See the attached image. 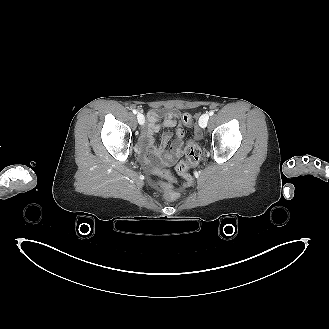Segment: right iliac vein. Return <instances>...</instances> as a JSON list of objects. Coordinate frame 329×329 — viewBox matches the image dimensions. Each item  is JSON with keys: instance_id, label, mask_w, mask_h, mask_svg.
Here are the masks:
<instances>
[{"instance_id": "right-iliac-vein-1", "label": "right iliac vein", "mask_w": 329, "mask_h": 329, "mask_svg": "<svg viewBox=\"0 0 329 329\" xmlns=\"http://www.w3.org/2000/svg\"><path fill=\"white\" fill-rule=\"evenodd\" d=\"M137 120H138V123H139L140 125H143L144 122H145V117H144L141 113H138V114H137Z\"/></svg>"}]
</instances>
